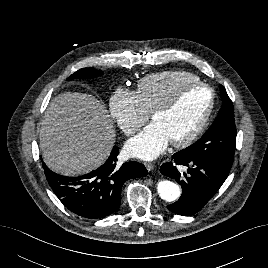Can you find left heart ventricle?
<instances>
[{
  "instance_id": "obj_1",
  "label": "left heart ventricle",
  "mask_w": 268,
  "mask_h": 268,
  "mask_svg": "<svg viewBox=\"0 0 268 268\" xmlns=\"http://www.w3.org/2000/svg\"><path fill=\"white\" fill-rule=\"evenodd\" d=\"M209 100L208 89L202 87L187 89L171 111L157 116L154 120L162 127L169 141L182 139L197 125Z\"/></svg>"
}]
</instances>
